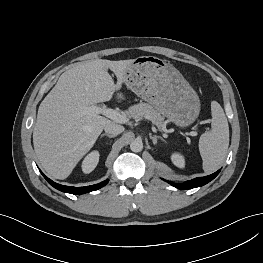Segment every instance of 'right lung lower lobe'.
Masks as SVG:
<instances>
[{
    "label": "right lung lower lobe",
    "instance_id": "right-lung-lower-lobe-1",
    "mask_svg": "<svg viewBox=\"0 0 263 263\" xmlns=\"http://www.w3.org/2000/svg\"><path fill=\"white\" fill-rule=\"evenodd\" d=\"M41 174L48 181V183L51 184L54 188H56V189H58V190H60L62 192L71 193V194L88 193V192L97 190V189L105 186L108 183V179H107V180H105V181H103L101 183H98V184H95V185H91V186H85V187L64 186V185H60V184H57V183L53 182L48 177H46L42 172H41Z\"/></svg>",
    "mask_w": 263,
    "mask_h": 263
}]
</instances>
